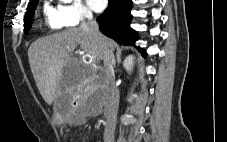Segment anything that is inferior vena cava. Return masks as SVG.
Returning <instances> with one entry per match:
<instances>
[{"instance_id": "602c4592", "label": "inferior vena cava", "mask_w": 227, "mask_h": 142, "mask_svg": "<svg viewBox=\"0 0 227 142\" xmlns=\"http://www.w3.org/2000/svg\"><path fill=\"white\" fill-rule=\"evenodd\" d=\"M80 28L91 35L98 43L101 58L104 61V84L107 90V104H106V125L104 130V142H113L114 132L116 126V115L119 105V93L112 88L114 84V68L111 59V50L104 42L103 35L100 33L98 23L94 20L90 11L84 12V21Z\"/></svg>"}]
</instances>
